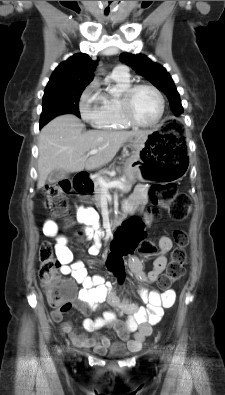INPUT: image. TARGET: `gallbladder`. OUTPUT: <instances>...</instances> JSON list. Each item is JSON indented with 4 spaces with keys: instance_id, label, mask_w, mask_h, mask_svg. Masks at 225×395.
Listing matches in <instances>:
<instances>
[{
    "instance_id": "bac80fb5",
    "label": "gallbladder",
    "mask_w": 225,
    "mask_h": 395,
    "mask_svg": "<svg viewBox=\"0 0 225 395\" xmlns=\"http://www.w3.org/2000/svg\"><path fill=\"white\" fill-rule=\"evenodd\" d=\"M67 173L63 170H54L51 172L47 178V182L49 184L58 183L59 181L65 179L67 177Z\"/></svg>"
}]
</instances>
